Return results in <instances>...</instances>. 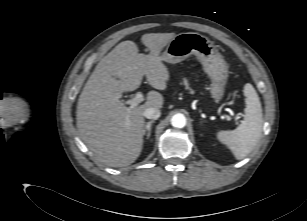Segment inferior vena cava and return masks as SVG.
<instances>
[{"label": "inferior vena cava", "instance_id": "1", "mask_svg": "<svg viewBox=\"0 0 307 221\" xmlns=\"http://www.w3.org/2000/svg\"><path fill=\"white\" fill-rule=\"evenodd\" d=\"M143 115L148 119H158L161 115V112L158 108L150 107L144 111Z\"/></svg>", "mask_w": 307, "mask_h": 221}]
</instances>
